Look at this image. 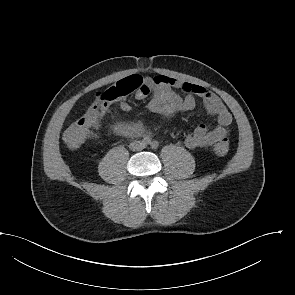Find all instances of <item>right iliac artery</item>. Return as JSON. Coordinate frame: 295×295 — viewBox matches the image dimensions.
Returning <instances> with one entry per match:
<instances>
[{
    "label": "right iliac artery",
    "mask_w": 295,
    "mask_h": 295,
    "mask_svg": "<svg viewBox=\"0 0 295 295\" xmlns=\"http://www.w3.org/2000/svg\"><path fill=\"white\" fill-rule=\"evenodd\" d=\"M142 142H143L144 144L148 145V144L151 143V139H150V137H144L143 140H142Z\"/></svg>",
    "instance_id": "82829eb1"
}]
</instances>
